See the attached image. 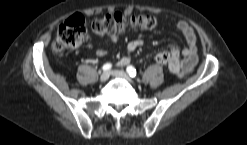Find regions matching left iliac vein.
<instances>
[{"label":"left iliac vein","instance_id":"4c4485c4","mask_svg":"<svg viewBox=\"0 0 247 145\" xmlns=\"http://www.w3.org/2000/svg\"><path fill=\"white\" fill-rule=\"evenodd\" d=\"M111 74L114 77H119V78L125 79L129 83H134V81L124 71L113 70V71H111Z\"/></svg>","mask_w":247,"mask_h":145}]
</instances>
